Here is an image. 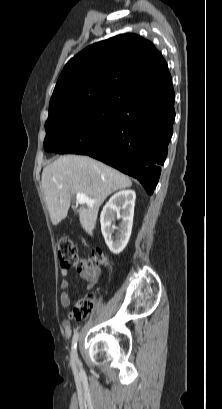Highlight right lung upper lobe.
Segmentation results:
<instances>
[{"label":"right lung upper lobe","mask_w":222,"mask_h":409,"mask_svg":"<svg viewBox=\"0 0 222 409\" xmlns=\"http://www.w3.org/2000/svg\"><path fill=\"white\" fill-rule=\"evenodd\" d=\"M162 54L136 34H121L92 44L65 65L53 91L49 113L66 106L160 95L172 84Z\"/></svg>","instance_id":"right-lung-upper-lobe-1"}]
</instances>
